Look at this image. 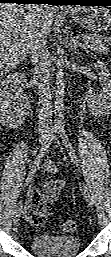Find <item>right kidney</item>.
<instances>
[{"mask_svg": "<svg viewBox=\"0 0 111 257\" xmlns=\"http://www.w3.org/2000/svg\"><path fill=\"white\" fill-rule=\"evenodd\" d=\"M26 78L23 73L15 72L10 73L4 77L0 84V111L2 122H12L16 114L23 113L22 109H26L29 106L28 98L23 95L24 83ZM18 90L17 96L14 93ZM17 102H14L15 99Z\"/></svg>", "mask_w": 111, "mask_h": 257, "instance_id": "ca27d5eb", "label": "right kidney"}]
</instances>
